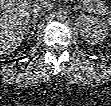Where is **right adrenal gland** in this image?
<instances>
[{
  "label": "right adrenal gland",
  "mask_w": 111,
  "mask_h": 106,
  "mask_svg": "<svg viewBox=\"0 0 111 106\" xmlns=\"http://www.w3.org/2000/svg\"><path fill=\"white\" fill-rule=\"evenodd\" d=\"M39 21V18H34L33 20H31L28 24H27V27H26V34H28L29 32L30 33V36L29 37H32L34 35V29L36 28V23ZM33 29L30 31V28Z\"/></svg>",
  "instance_id": "right-adrenal-gland-1"
}]
</instances>
